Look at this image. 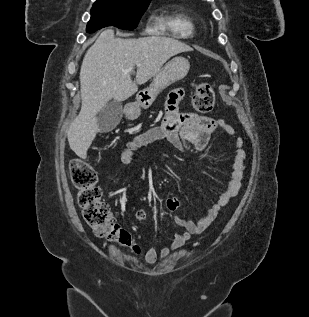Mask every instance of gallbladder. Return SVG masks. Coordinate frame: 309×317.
Instances as JSON below:
<instances>
[{"mask_svg":"<svg viewBox=\"0 0 309 317\" xmlns=\"http://www.w3.org/2000/svg\"><path fill=\"white\" fill-rule=\"evenodd\" d=\"M122 114V105L119 101L107 102L97 116L99 132L112 131L121 121Z\"/></svg>","mask_w":309,"mask_h":317,"instance_id":"bac80fb5","label":"gallbladder"}]
</instances>
